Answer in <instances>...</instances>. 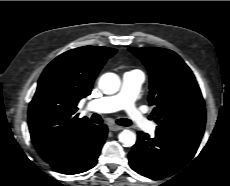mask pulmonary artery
I'll list each match as a JSON object with an SVG mask.
<instances>
[{"mask_svg": "<svg viewBox=\"0 0 230 186\" xmlns=\"http://www.w3.org/2000/svg\"><path fill=\"white\" fill-rule=\"evenodd\" d=\"M144 81V74L140 70L125 72L122 77L120 91L111 96L92 100L88 103V109L99 113H109L124 110L132 124L139 128L154 133L156 124L150 122L138 110L135 100Z\"/></svg>", "mask_w": 230, "mask_h": 186, "instance_id": "e3ab8cb5", "label": "pulmonary artery"}]
</instances>
